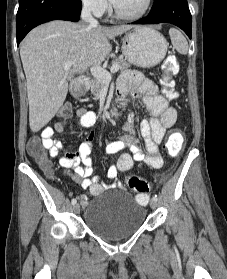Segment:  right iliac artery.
I'll return each mask as SVG.
<instances>
[{
    "label": "right iliac artery",
    "mask_w": 227,
    "mask_h": 279,
    "mask_svg": "<svg viewBox=\"0 0 227 279\" xmlns=\"http://www.w3.org/2000/svg\"><path fill=\"white\" fill-rule=\"evenodd\" d=\"M71 203H72V205H75L77 203V200L76 199H72Z\"/></svg>",
    "instance_id": "obj_1"
}]
</instances>
